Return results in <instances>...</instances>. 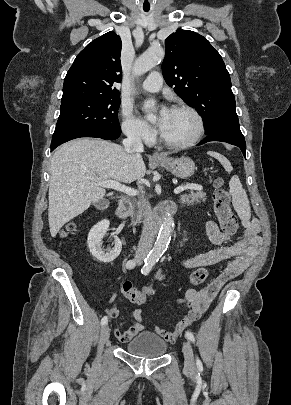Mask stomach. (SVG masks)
Wrapping results in <instances>:
<instances>
[{
	"label": "stomach",
	"instance_id": "obj_1",
	"mask_svg": "<svg viewBox=\"0 0 291 405\" xmlns=\"http://www.w3.org/2000/svg\"><path fill=\"white\" fill-rule=\"evenodd\" d=\"M157 164L164 167L178 178L187 179L191 177L195 172L194 162L185 157L181 158H165L157 162Z\"/></svg>",
	"mask_w": 291,
	"mask_h": 405
}]
</instances>
